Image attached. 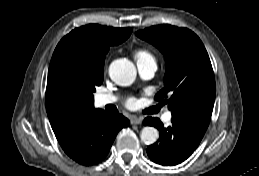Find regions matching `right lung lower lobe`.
<instances>
[{"instance_id":"1","label":"right lung lower lobe","mask_w":259,"mask_h":176,"mask_svg":"<svg viewBox=\"0 0 259 176\" xmlns=\"http://www.w3.org/2000/svg\"><path fill=\"white\" fill-rule=\"evenodd\" d=\"M130 121L119 113L97 110L85 123L58 140L64 152L82 165H94L108 154L120 129Z\"/></svg>"}]
</instances>
